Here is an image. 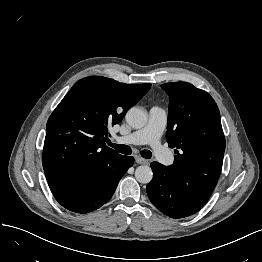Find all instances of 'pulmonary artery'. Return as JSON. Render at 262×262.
I'll return each mask as SVG.
<instances>
[{
    "instance_id": "obj_1",
    "label": "pulmonary artery",
    "mask_w": 262,
    "mask_h": 262,
    "mask_svg": "<svg viewBox=\"0 0 262 262\" xmlns=\"http://www.w3.org/2000/svg\"><path fill=\"white\" fill-rule=\"evenodd\" d=\"M167 123V112L164 108L153 106L149 110L146 125L135 132L118 138L122 144L150 145L158 161L164 165L173 162V155L161 144V136Z\"/></svg>"
}]
</instances>
